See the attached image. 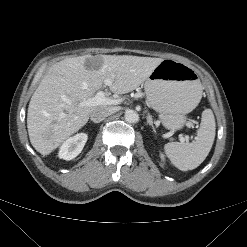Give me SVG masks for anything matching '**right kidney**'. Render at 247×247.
<instances>
[{
    "label": "right kidney",
    "mask_w": 247,
    "mask_h": 247,
    "mask_svg": "<svg viewBox=\"0 0 247 247\" xmlns=\"http://www.w3.org/2000/svg\"><path fill=\"white\" fill-rule=\"evenodd\" d=\"M87 138L88 136L85 133H79L70 137L60 147L58 156L65 160L74 159L81 153Z\"/></svg>",
    "instance_id": "obj_1"
}]
</instances>
